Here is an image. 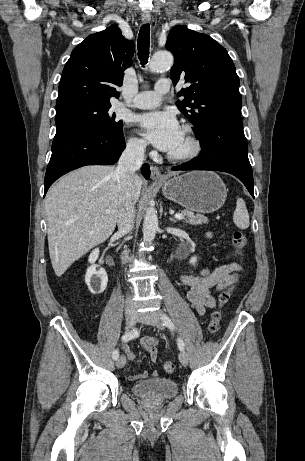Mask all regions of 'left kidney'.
Segmentation results:
<instances>
[{
  "mask_svg": "<svg viewBox=\"0 0 305 461\" xmlns=\"http://www.w3.org/2000/svg\"><path fill=\"white\" fill-rule=\"evenodd\" d=\"M189 263L192 265H195L197 263V257L196 256L191 257Z\"/></svg>",
  "mask_w": 305,
  "mask_h": 461,
  "instance_id": "5707ae66",
  "label": "left kidney"
}]
</instances>
